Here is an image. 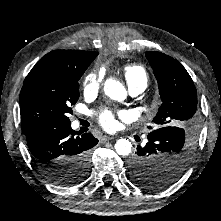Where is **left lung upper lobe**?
Here are the masks:
<instances>
[{"label": "left lung upper lobe", "instance_id": "obj_1", "mask_svg": "<svg viewBox=\"0 0 221 221\" xmlns=\"http://www.w3.org/2000/svg\"><path fill=\"white\" fill-rule=\"evenodd\" d=\"M146 57L158 81L162 100L153 118L160 128L149 133L148 138L163 130L175 131V134L157 139L156 143H147L142 154L147 168L151 169L147 174L157 171L167 178L156 186L149 184L148 176L132 175V180L141 187L159 189L175 182L191 160L195 129L199 123L197 92L190 75L177 60L151 51L146 52Z\"/></svg>", "mask_w": 221, "mask_h": 221}]
</instances>
